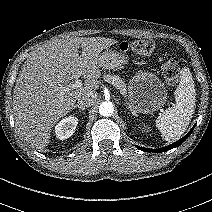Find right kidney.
I'll return each mask as SVG.
<instances>
[{
  "label": "right kidney",
  "mask_w": 212,
  "mask_h": 212,
  "mask_svg": "<svg viewBox=\"0 0 212 212\" xmlns=\"http://www.w3.org/2000/svg\"><path fill=\"white\" fill-rule=\"evenodd\" d=\"M77 124H78V118L74 116L63 118L55 126L56 137L60 140L68 139L74 133Z\"/></svg>",
  "instance_id": "obj_1"
}]
</instances>
